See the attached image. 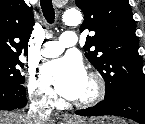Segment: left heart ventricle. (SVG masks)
Segmentation results:
<instances>
[{"instance_id": "obj_1", "label": "left heart ventricle", "mask_w": 145, "mask_h": 124, "mask_svg": "<svg viewBox=\"0 0 145 124\" xmlns=\"http://www.w3.org/2000/svg\"><path fill=\"white\" fill-rule=\"evenodd\" d=\"M94 92H95V84L92 80H90L87 77L79 95L74 99V101H82L88 99L94 94Z\"/></svg>"}]
</instances>
